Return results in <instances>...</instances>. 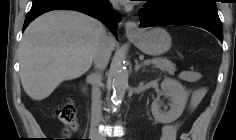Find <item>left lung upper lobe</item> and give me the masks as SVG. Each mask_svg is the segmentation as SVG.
Wrapping results in <instances>:
<instances>
[{"mask_svg":"<svg viewBox=\"0 0 236 140\" xmlns=\"http://www.w3.org/2000/svg\"><path fill=\"white\" fill-rule=\"evenodd\" d=\"M156 1L161 2L162 4L168 7L176 6L179 4H190L206 8L217 9L215 0H150L148 4Z\"/></svg>","mask_w":236,"mask_h":140,"instance_id":"obj_1","label":"left lung upper lobe"}]
</instances>
